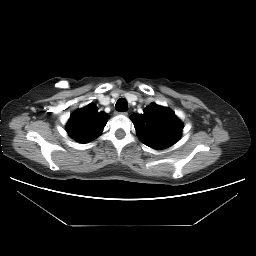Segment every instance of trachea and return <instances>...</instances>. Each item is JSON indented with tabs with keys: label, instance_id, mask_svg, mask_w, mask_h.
<instances>
[{
	"label": "trachea",
	"instance_id": "1",
	"mask_svg": "<svg viewBox=\"0 0 256 256\" xmlns=\"http://www.w3.org/2000/svg\"><path fill=\"white\" fill-rule=\"evenodd\" d=\"M115 109L119 112H126L128 111V103L127 100L124 98H120L117 100L115 104Z\"/></svg>",
	"mask_w": 256,
	"mask_h": 256
}]
</instances>
